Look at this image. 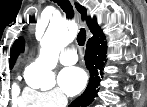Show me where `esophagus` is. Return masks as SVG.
<instances>
[{"label": "esophagus", "mask_w": 147, "mask_h": 107, "mask_svg": "<svg viewBox=\"0 0 147 107\" xmlns=\"http://www.w3.org/2000/svg\"><path fill=\"white\" fill-rule=\"evenodd\" d=\"M72 2V4H73V1H71ZM78 17L80 18V15L78 14ZM84 25H85V22H84Z\"/></svg>", "instance_id": "obj_1"}]
</instances>
